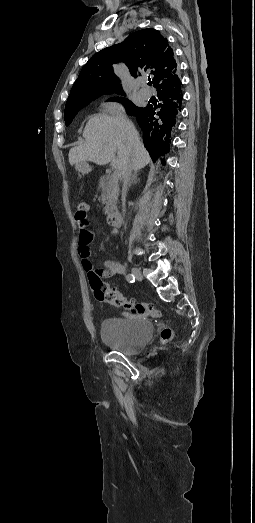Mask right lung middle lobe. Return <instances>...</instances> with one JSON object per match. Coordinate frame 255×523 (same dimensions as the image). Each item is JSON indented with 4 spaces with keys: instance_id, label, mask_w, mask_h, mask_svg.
Returning a JSON list of instances; mask_svg holds the SVG:
<instances>
[{
    "instance_id": "obj_1",
    "label": "right lung middle lobe",
    "mask_w": 255,
    "mask_h": 523,
    "mask_svg": "<svg viewBox=\"0 0 255 523\" xmlns=\"http://www.w3.org/2000/svg\"><path fill=\"white\" fill-rule=\"evenodd\" d=\"M109 100L110 101H118V102L123 103L124 105L128 101V99L119 98V97L111 98ZM90 102L66 104L65 112H64V119H65L66 126H68L72 122V120L76 116L77 112L79 110H81L83 107H85L86 105H88Z\"/></svg>"
}]
</instances>
